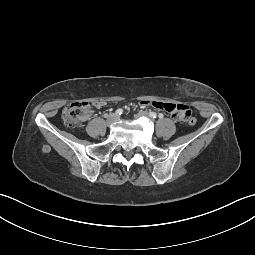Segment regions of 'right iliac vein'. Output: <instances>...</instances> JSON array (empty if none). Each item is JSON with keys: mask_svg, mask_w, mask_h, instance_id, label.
<instances>
[{"mask_svg": "<svg viewBox=\"0 0 255 255\" xmlns=\"http://www.w3.org/2000/svg\"><path fill=\"white\" fill-rule=\"evenodd\" d=\"M118 115L116 113H112L108 116L107 118V125L112 126L117 120H118Z\"/></svg>", "mask_w": 255, "mask_h": 255, "instance_id": "right-iliac-vein-1", "label": "right iliac vein"}]
</instances>
